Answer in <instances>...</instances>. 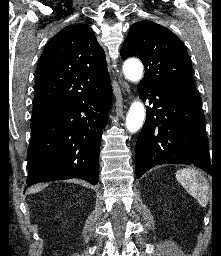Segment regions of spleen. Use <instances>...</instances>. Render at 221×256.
I'll use <instances>...</instances> for the list:
<instances>
[{"mask_svg":"<svg viewBox=\"0 0 221 256\" xmlns=\"http://www.w3.org/2000/svg\"><path fill=\"white\" fill-rule=\"evenodd\" d=\"M176 178L187 192L197 199L198 203L205 207L209 200V185L207 179L193 168L178 170Z\"/></svg>","mask_w":221,"mask_h":256,"instance_id":"obj_1","label":"spleen"}]
</instances>
